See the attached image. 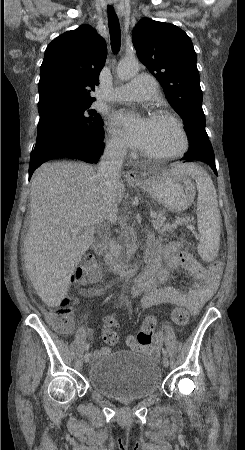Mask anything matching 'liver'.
I'll return each mask as SVG.
<instances>
[{"mask_svg": "<svg viewBox=\"0 0 245 450\" xmlns=\"http://www.w3.org/2000/svg\"><path fill=\"white\" fill-rule=\"evenodd\" d=\"M124 192L125 185L119 181L116 205ZM107 210L92 166L54 162L34 172L24 261L37 294L47 306L58 307L67 295L71 275L93 244L95 230L106 219ZM75 227L81 228L78 235L70 232Z\"/></svg>", "mask_w": 245, "mask_h": 450, "instance_id": "liver-1", "label": "liver"}]
</instances>
